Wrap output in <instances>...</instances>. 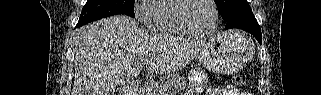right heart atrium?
<instances>
[{
  "label": "right heart atrium",
  "instance_id": "right-heart-atrium-1",
  "mask_svg": "<svg viewBox=\"0 0 321 95\" xmlns=\"http://www.w3.org/2000/svg\"><path fill=\"white\" fill-rule=\"evenodd\" d=\"M155 0L137 1L134 7L135 19L138 23L147 24L152 13Z\"/></svg>",
  "mask_w": 321,
  "mask_h": 95
}]
</instances>
